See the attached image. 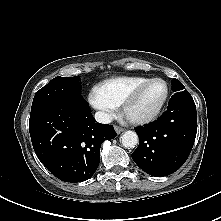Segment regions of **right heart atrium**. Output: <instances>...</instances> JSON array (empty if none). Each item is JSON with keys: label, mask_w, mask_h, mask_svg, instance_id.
Returning <instances> with one entry per match:
<instances>
[{"label": "right heart atrium", "mask_w": 221, "mask_h": 221, "mask_svg": "<svg viewBox=\"0 0 221 221\" xmlns=\"http://www.w3.org/2000/svg\"><path fill=\"white\" fill-rule=\"evenodd\" d=\"M88 102L103 122L111 121L117 114L118 106L106 97L99 87H93L88 93Z\"/></svg>", "instance_id": "right-heart-atrium-1"}]
</instances>
